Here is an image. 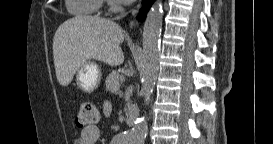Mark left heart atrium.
I'll use <instances>...</instances> for the list:
<instances>
[{"label":"left heart atrium","mask_w":273,"mask_h":144,"mask_svg":"<svg viewBox=\"0 0 273 144\" xmlns=\"http://www.w3.org/2000/svg\"><path fill=\"white\" fill-rule=\"evenodd\" d=\"M131 0H122V2H124V3H128V2H130Z\"/></svg>","instance_id":"1"}]
</instances>
